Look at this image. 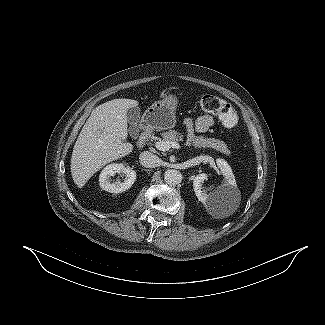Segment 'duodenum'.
<instances>
[{"instance_id":"410a0bca","label":"duodenum","mask_w":325,"mask_h":325,"mask_svg":"<svg viewBox=\"0 0 325 325\" xmlns=\"http://www.w3.org/2000/svg\"><path fill=\"white\" fill-rule=\"evenodd\" d=\"M147 138H148V134H147L146 132H143V133L140 135L139 139H138V144H139L140 146L144 145V143H145V141L147 140Z\"/></svg>"}]
</instances>
